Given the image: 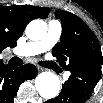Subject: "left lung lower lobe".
I'll return each mask as SVG.
<instances>
[{
	"label": "left lung lower lobe",
	"mask_w": 103,
	"mask_h": 103,
	"mask_svg": "<svg viewBox=\"0 0 103 103\" xmlns=\"http://www.w3.org/2000/svg\"><path fill=\"white\" fill-rule=\"evenodd\" d=\"M100 64L82 65L70 70L69 79L63 84L61 93L46 103H85L101 78Z\"/></svg>",
	"instance_id": "obj_1"
}]
</instances>
